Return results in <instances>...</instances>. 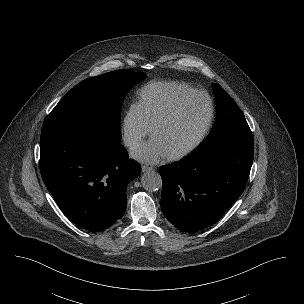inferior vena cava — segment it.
Returning <instances> with one entry per match:
<instances>
[{
	"mask_svg": "<svg viewBox=\"0 0 304 304\" xmlns=\"http://www.w3.org/2000/svg\"><path fill=\"white\" fill-rule=\"evenodd\" d=\"M132 144V141L131 140H127L126 141V145L130 146Z\"/></svg>",
	"mask_w": 304,
	"mask_h": 304,
	"instance_id": "inferior-vena-cava-1",
	"label": "inferior vena cava"
}]
</instances>
